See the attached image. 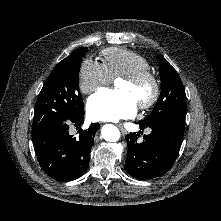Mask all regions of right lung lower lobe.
<instances>
[{
    "mask_svg": "<svg viewBox=\"0 0 221 221\" xmlns=\"http://www.w3.org/2000/svg\"><path fill=\"white\" fill-rule=\"evenodd\" d=\"M84 113L67 120L57 121L32 135L39 164L51 178L68 182L81 177L89 166L91 147L100 125L93 123L87 130H80L77 137L69 134L71 123L80 126Z\"/></svg>",
    "mask_w": 221,
    "mask_h": 221,
    "instance_id": "obj_1",
    "label": "right lung lower lobe"
}]
</instances>
